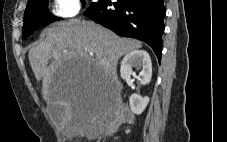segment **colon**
I'll return each mask as SVG.
<instances>
[{
  "instance_id": "colon-1",
  "label": "colon",
  "mask_w": 227,
  "mask_h": 142,
  "mask_svg": "<svg viewBox=\"0 0 227 142\" xmlns=\"http://www.w3.org/2000/svg\"><path fill=\"white\" fill-rule=\"evenodd\" d=\"M125 119V114L123 111H117L116 113L110 115L107 119L108 124L111 127H116L122 120Z\"/></svg>"
}]
</instances>
